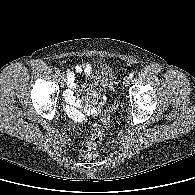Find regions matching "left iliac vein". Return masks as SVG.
<instances>
[{"label":"left iliac vein","instance_id":"4c4485c4","mask_svg":"<svg viewBox=\"0 0 195 195\" xmlns=\"http://www.w3.org/2000/svg\"><path fill=\"white\" fill-rule=\"evenodd\" d=\"M130 81H131L130 76H127V77L124 78L123 84L125 86H128L130 84Z\"/></svg>","mask_w":195,"mask_h":195}]
</instances>
